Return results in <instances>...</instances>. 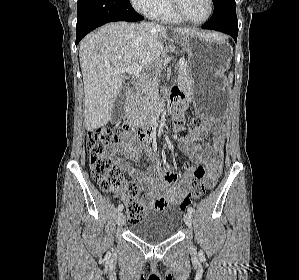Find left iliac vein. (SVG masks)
<instances>
[{"label":"left iliac vein","instance_id":"left-iliac-vein-1","mask_svg":"<svg viewBox=\"0 0 299 280\" xmlns=\"http://www.w3.org/2000/svg\"><path fill=\"white\" fill-rule=\"evenodd\" d=\"M192 220H193V217H192V214L191 213H186L185 216H184V221L186 223V225L188 227H191V224H192Z\"/></svg>","mask_w":299,"mask_h":280}]
</instances>
